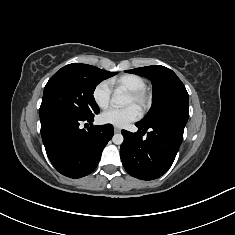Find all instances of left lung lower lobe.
<instances>
[{"mask_svg":"<svg viewBox=\"0 0 235 235\" xmlns=\"http://www.w3.org/2000/svg\"><path fill=\"white\" fill-rule=\"evenodd\" d=\"M138 131H122L124 142L120 155L125 170L141 180H153L171 167L183 139L185 124L159 121L144 125L136 123ZM147 132V137L143 138Z\"/></svg>","mask_w":235,"mask_h":235,"instance_id":"obj_1","label":"left lung lower lobe"}]
</instances>
